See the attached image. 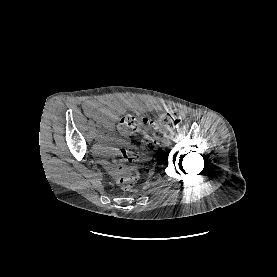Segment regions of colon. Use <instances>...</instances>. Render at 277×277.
<instances>
[{
  "mask_svg": "<svg viewBox=\"0 0 277 277\" xmlns=\"http://www.w3.org/2000/svg\"><path fill=\"white\" fill-rule=\"evenodd\" d=\"M180 122L181 113L178 110L166 113L151 123L152 134L144 136L140 148L131 146L115 149L112 152L111 162L115 167L113 176L116 184L124 190L132 189L139 179V172L127 164L139 163L144 157L155 154L164 131L177 128ZM146 124L145 118L128 114L120 119L118 129L122 134L128 135L142 130Z\"/></svg>",
  "mask_w": 277,
  "mask_h": 277,
  "instance_id": "colon-1",
  "label": "colon"
}]
</instances>
